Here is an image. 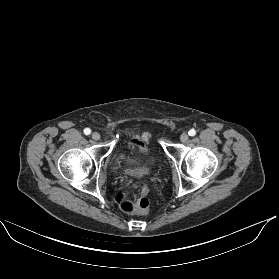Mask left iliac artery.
Segmentation results:
<instances>
[{"label":"left iliac artery","instance_id":"44dca946","mask_svg":"<svg viewBox=\"0 0 279 279\" xmlns=\"http://www.w3.org/2000/svg\"><path fill=\"white\" fill-rule=\"evenodd\" d=\"M188 134H189L190 136H195L196 131H195L194 129H191V130H189Z\"/></svg>","mask_w":279,"mask_h":279}]
</instances>
